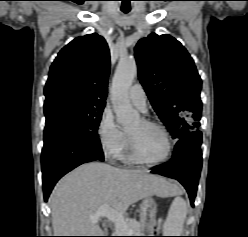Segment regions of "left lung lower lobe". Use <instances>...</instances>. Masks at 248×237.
<instances>
[{
    "label": "left lung lower lobe",
    "instance_id": "obj_1",
    "mask_svg": "<svg viewBox=\"0 0 248 237\" xmlns=\"http://www.w3.org/2000/svg\"><path fill=\"white\" fill-rule=\"evenodd\" d=\"M201 141L200 131L191 132L180 138L175 145L172 159L152 170L153 173L178 180L186 188L192 206L202 166Z\"/></svg>",
    "mask_w": 248,
    "mask_h": 237
}]
</instances>
